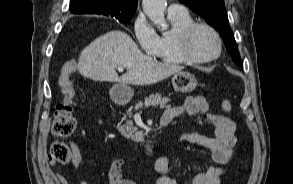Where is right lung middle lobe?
<instances>
[{"label":"right lung middle lobe","mask_w":293,"mask_h":184,"mask_svg":"<svg viewBox=\"0 0 293 184\" xmlns=\"http://www.w3.org/2000/svg\"><path fill=\"white\" fill-rule=\"evenodd\" d=\"M121 23L128 22L132 19V17H122V18H117Z\"/></svg>","instance_id":"dd1d6c3e"}]
</instances>
